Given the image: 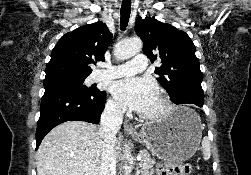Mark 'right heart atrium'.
<instances>
[{
	"label": "right heart atrium",
	"instance_id": "d8ad5b80",
	"mask_svg": "<svg viewBox=\"0 0 251 175\" xmlns=\"http://www.w3.org/2000/svg\"><path fill=\"white\" fill-rule=\"evenodd\" d=\"M106 112L115 119H121L125 115V110L115 100L109 99L106 105Z\"/></svg>",
	"mask_w": 251,
	"mask_h": 175
}]
</instances>
